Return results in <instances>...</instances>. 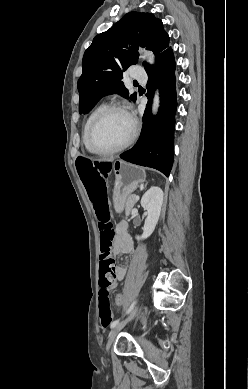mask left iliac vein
<instances>
[{
  "mask_svg": "<svg viewBox=\"0 0 248 389\" xmlns=\"http://www.w3.org/2000/svg\"><path fill=\"white\" fill-rule=\"evenodd\" d=\"M137 310H138V306H136L135 308H133L131 314L127 317V319H125L124 321H122L121 323H119L117 326H115L114 328H112L110 334H109V337H108V341H107V345H106V350L107 352L109 351L111 345L113 344L114 340H115V337L117 336V334L119 333V331L130 321L133 319V317L136 315L137 313Z\"/></svg>",
  "mask_w": 248,
  "mask_h": 389,
  "instance_id": "left-iliac-vein-1",
  "label": "left iliac vein"
}]
</instances>
